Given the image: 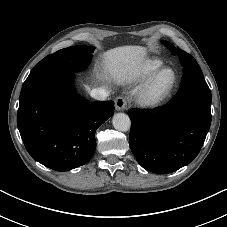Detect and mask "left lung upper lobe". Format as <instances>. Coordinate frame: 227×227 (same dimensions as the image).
I'll return each mask as SVG.
<instances>
[{
	"label": "left lung upper lobe",
	"mask_w": 227,
	"mask_h": 227,
	"mask_svg": "<svg viewBox=\"0 0 227 227\" xmlns=\"http://www.w3.org/2000/svg\"><path fill=\"white\" fill-rule=\"evenodd\" d=\"M163 44L175 55L179 56L180 62L183 66V77L181 81V88L176 97L172 100L185 101L195 100L211 103L212 97L209 87L204 80L202 71L196 60L185 51L177 48L163 41Z\"/></svg>",
	"instance_id": "obj_1"
}]
</instances>
